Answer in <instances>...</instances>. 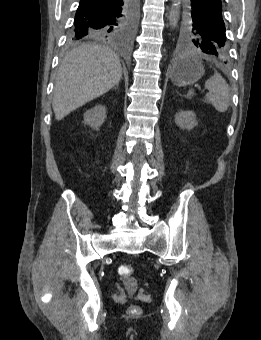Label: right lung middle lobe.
Listing matches in <instances>:
<instances>
[{"instance_id":"1","label":"right lung middle lobe","mask_w":261,"mask_h":340,"mask_svg":"<svg viewBox=\"0 0 261 340\" xmlns=\"http://www.w3.org/2000/svg\"><path fill=\"white\" fill-rule=\"evenodd\" d=\"M137 15L138 0H129L118 16L99 20L94 26L82 30L72 28L68 43L76 44L86 40H129L135 29Z\"/></svg>"}]
</instances>
